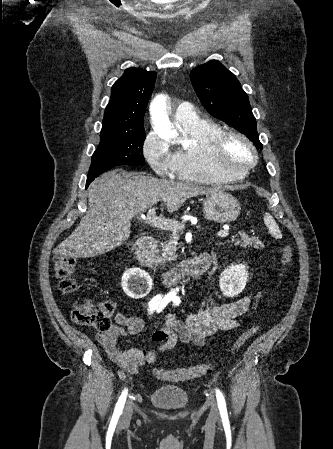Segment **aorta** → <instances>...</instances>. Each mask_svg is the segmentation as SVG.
Here are the masks:
<instances>
[{"mask_svg":"<svg viewBox=\"0 0 333 449\" xmlns=\"http://www.w3.org/2000/svg\"><path fill=\"white\" fill-rule=\"evenodd\" d=\"M166 98L164 96L157 97L151 105L150 111L155 124L156 132L164 138H176L177 132L174 130L168 120L165 112ZM176 290L174 294L178 293Z\"/></svg>","mask_w":333,"mask_h":449,"instance_id":"1","label":"aorta"}]
</instances>
